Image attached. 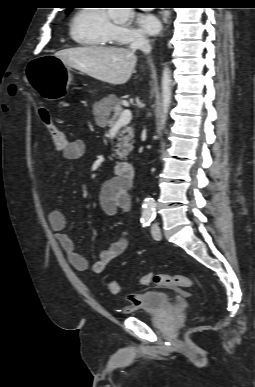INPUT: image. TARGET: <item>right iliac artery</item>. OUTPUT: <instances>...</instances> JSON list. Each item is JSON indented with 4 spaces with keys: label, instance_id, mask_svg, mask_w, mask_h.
<instances>
[{
    "label": "right iliac artery",
    "instance_id": "right-iliac-artery-1",
    "mask_svg": "<svg viewBox=\"0 0 255 387\" xmlns=\"http://www.w3.org/2000/svg\"><path fill=\"white\" fill-rule=\"evenodd\" d=\"M151 221H152V219L149 218V217H143V218L141 219V223H142L143 227L149 226L150 223H151Z\"/></svg>",
    "mask_w": 255,
    "mask_h": 387
}]
</instances>
